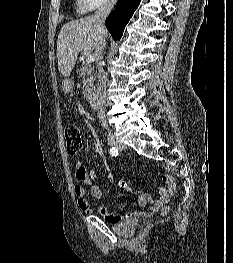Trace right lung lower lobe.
Instances as JSON below:
<instances>
[{"label": "right lung lower lobe", "instance_id": "98d812e1", "mask_svg": "<svg viewBox=\"0 0 233 263\" xmlns=\"http://www.w3.org/2000/svg\"><path fill=\"white\" fill-rule=\"evenodd\" d=\"M141 0H118L116 8L106 19L105 25L115 40H120L124 28Z\"/></svg>", "mask_w": 233, "mask_h": 263}]
</instances>
